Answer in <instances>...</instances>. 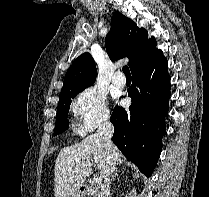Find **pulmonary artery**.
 Returning a JSON list of instances; mask_svg holds the SVG:
<instances>
[{
	"label": "pulmonary artery",
	"instance_id": "e3ab8cb5",
	"mask_svg": "<svg viewBox=\"0 0 209 197\" xmlns=\"http://www.w3.org/2000/svg\"><path fill=\"white\" fill-rule=\"evenodd\" d=\"M112 82H113L114 85H116L118 87H124L125 84H126V79L121 72H117L113 76Z\"/></svg>",
	"mask_w": 209,
	"mask_h": 197
}]
</instances>
